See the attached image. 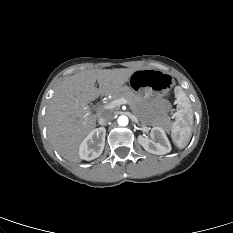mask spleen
Wrapping results in <instances>:
<instances>
[{
  "mask_svg": "<svg viewBox=\"0 0 233 233\" xmlns=\"http://www.w3.org/2000/svg\"><path fill=\"white\" fill-rule=\"evenodd\" d=\"M175 96L178 104L171 138L178 148L183 149L191 138L194 116L191 102L180 86L175 87Z\"/></svg>",
  "mask_w": 233,
  "mask_h": 233,
  "instance_id": "spleen-1",
  "label": "spleen"
}]
</instances>
